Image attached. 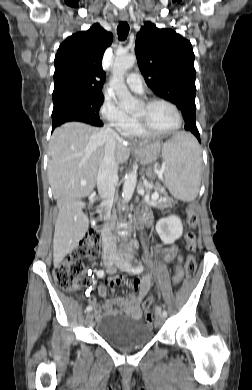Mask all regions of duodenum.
I'll return each mask as SVG.
<instances>
[{
    "instance_id": "obj_1",
    "label": "duodenum",
    "mask_w": 252,
    "mask_h": 390,
    "mask_svg": "<svg viewBox=\"0 0 252 390\" xmlns=\"http://www.w3.org/2000/svg\"><path fill=\"white\" fill-rule=\"evenodd\" d=\"M142 211H143V207L140 208L137 212V219H138L137 227L138 228H142L144 225ZM104 221H105V213L103 210L101 200L95 199L93 201V224H94V227L97 230L102 231V229L104 227Z\"/></svg>"
}]
</instances>
